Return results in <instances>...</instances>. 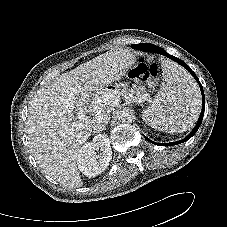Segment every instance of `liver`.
<instances>
[{
	"mask_svg": "<svg viewBox=\"0 0 227 227\" xmlns=\"http://www.w3.org/2000/svg\"><path fill=\"white\" fill-rule=\"evenodd\" d=\"M133 63L129 50H110L55 78L30 101L25 123L29 148L44 173L64 187L83 186L77 167L79 152L92 133L95 117L108 115L119 101L105 86L120 80ZM80 110L90 115L82 127L72 128Z\"/></svg>",
	"mask_w": 227,
	"mask_h": 227,
	"instance_id": "liver-1",
	"label": "liver"
}]
</instances>
